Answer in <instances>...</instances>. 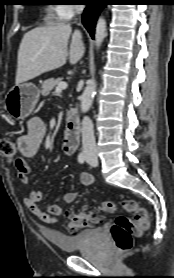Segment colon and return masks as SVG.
Wrapping results in <instances>:
<instances>
[{
	"label": "colon",
	"instance_id": "5ec220e1",
	"mask_svg": "<svg viewBox=\"0 0 174 278\" xmlns=\"http://www.w3.org/2000/svg\"><path fill=\"white\" fill-rule=\"evenodd\" d=\"M0 152L8 159L13 160L17 153V146L10 140L0 141ZM122 207L132 214V218L118 216L111 226V236L118 252H125L132 248L133 237L139 235L148 229L150 221L148 212L134 200H125ZM115 204L112 201H104L100 210L104 214H110L114 211ZM67 227L71 231L90 227L98 223L101 216L98 211L84 209L80 212L67 213Z\"/></svg>",
	"mask_w": 174,
	"mask_h": 278
}]
</instances>
